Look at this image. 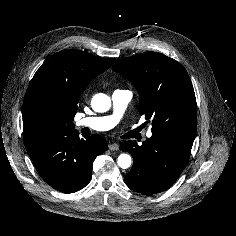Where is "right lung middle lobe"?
I'll list each match as a JSON object with an SVG mask.
<instances>
[{
	"label": "right lung middle lobe",
	"mask_w": 236,
	"mask_h": 236,
	"mask_svg": "<svg viewBox=\"0 0 236 236\" xmlns=\"http://www.w3.org/2000/svg\"><path fill=\"white\" fill-rule=\"evenodd\" d=\"M44 118H45V121L48 123H52V121H53V117L50 115H45Z\"/></svg>",
	"instance_id": "dd1d6c3e"
}]
</instances>
